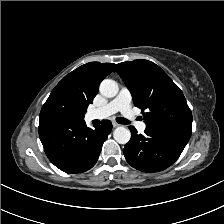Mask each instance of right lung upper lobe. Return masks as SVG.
I'll use <instances>...</instances> for the list:
<instances>
[{
    "label": "right lung upper lobe",
    "instance_id": "cb5924a9",
    "mask_svg": "<svg viewBox=\"0 0 224 224\" xmlns=\"http://www.w3.org/2000/svg\"><path fill=\"white\" fill-rule=\"evenodd\" d=\"M115 64L90 62L66 75L55 87L76 97L88 107L96 96L99 84L111 73Z\"/></svg>",
    "mask_w": 224,
    "mask_h": 224
}]
</instances>
